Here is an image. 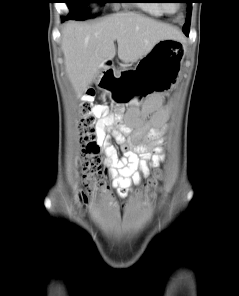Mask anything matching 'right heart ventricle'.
<instances>
[{"label":"right heart ventricle","mask_w":239,"mask_h":296,"mask_svg":"<svg viewBox=\"0 0 239 296\" xmlns=\"http://www.w3.org/2000/svg\"><path fill=\"white\" fill-rule=\"evenodd\" d=\"M140 7L155 16L162 15L164 13V10L161 6V4L157 3V0H146L145 3L140 4Z\"/></svg>","instance_id":"1"}]
</instances>
